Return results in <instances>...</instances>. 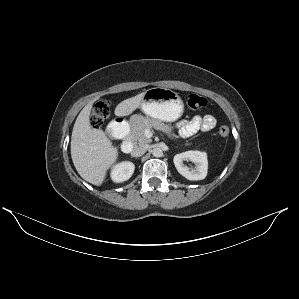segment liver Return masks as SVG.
<instances>
[{"instance_id":"obj_1","label":"liver","mask_w":299,"mask_h":299,"mask_svg":"<svg viewBox=\"0 0 299 299\" xmlns=\"http://www.w3.org/2000/svg\"><path fill=\"white\" fill-rule=\"evenodd\" d=\"M144 94L140 93L119 103L115 115H130L140 106ZM94 101L81 110L75 121L71 136V157L79 175L87 182L99 186L118 159L119 152L103 130L91 127L89 116Z\"/></svg>"}]
</instances>
